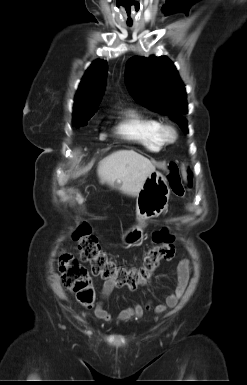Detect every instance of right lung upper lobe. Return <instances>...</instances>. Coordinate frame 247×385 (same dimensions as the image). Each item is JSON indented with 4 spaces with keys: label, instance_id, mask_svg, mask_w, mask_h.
Here are the masks:
<instances>
[{
    "label": "right lung upper lobe",
    "instance_id": "cb5924a9",
    "mask_svg": "<svg viewBox=\"0 0 247 385\" xmlns=\"http://www.w3.org/2000/svg\"><path fill=\"white\" fill-rule=\"evenodd\" d=\"M107 74V62L96 60L86 71L74 103V114L97 111L101 101L105 78Z\"/></svg>",
    "mask_w": 247,
    "mask_h": 385
}]
</instances>
